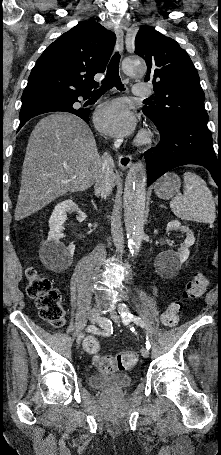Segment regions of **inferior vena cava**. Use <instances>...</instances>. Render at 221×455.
<instances>
[{
  "label": "inferior vena cava",
  "mask_w": 221,
  "mask_h": 455,
  "mask_svg": "<svg viewBox=\"0 0 221 455\" xmlns=\"http://www.w3.org/2000/svg\"><path fill=\"white\" fill-rule=\"evenodd\" d=\"M113 168L114 160L108 153H104L102 156V165L99 173L95 177L94 181V190L95 195L100 196L101 198L106 199V197L111 193L113 188Z\"/></svg>",
  "instance_id": "602c4592"
}]
</instances>
